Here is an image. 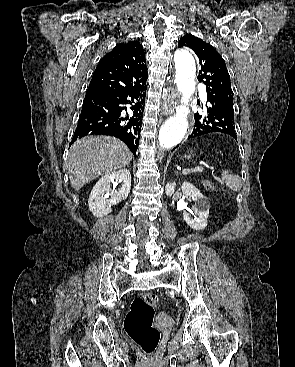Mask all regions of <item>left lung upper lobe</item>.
I'll use <instances>...</instances> for the list:
<instances>
[{"instance_id":"obj_1","label":"left lung upper lobe","mask_w":295,"mask_h":367,"mask_svg":"<svg viewBox=\"0 0 295 367\" xmlns=\"http://www.w3.org/2000/svg\"><path fill=\"white\" fill-rule=\"evenodd\" d=\"M183 46L191 48L198 56L201 65L198 80L206 85L207 100L233 106L230 76L220 54L212 45L193 35L180 38L178 47Z\"/></svg>"}]
</instances>
